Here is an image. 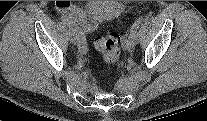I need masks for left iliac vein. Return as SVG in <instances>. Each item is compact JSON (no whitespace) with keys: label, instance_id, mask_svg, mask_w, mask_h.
<instances>
[{"label":"left iliac vein","instance_id":"obj_1","mask_svg":"<svg viewBox=\"0 0 207 121\" xmlns=\"http://www.w3.org/2000/svg\"><path fill=\"white\" fill-rule=\"evenodd\" d=\"M138 41V34L135 37H129L125 42H124V47L126 49H132L134 46L137 44Z\"/></svg>","mask_w":207,"mask_h":121}]
</instances>
